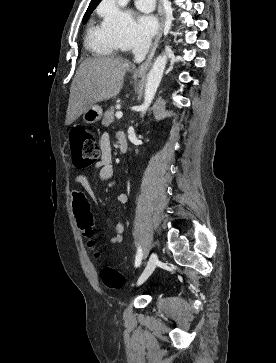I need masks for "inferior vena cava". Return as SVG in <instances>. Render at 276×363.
<instances>
[{"instance_id": "1", "label": "inferior vena cava", "mask_w": 276, "mask_h": 363, "mask_svg": "<svg viewBox=\"0 0 276 363\" xmlns=\"http://www.w3.org/2000/svg\"><path fill=\"white\" fill-rule=\"evenodd\" d=\"M151 46V37L147 34L138 36L133 44L134 62H142Z\"/></svg>"}]
</instances>
